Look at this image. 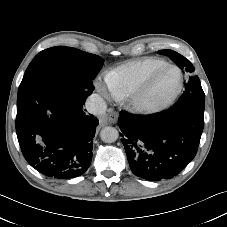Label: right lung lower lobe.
I'll return each instance as SVG.
<instances>
[{"label":"right lung lower lobe","mask_w":227,"mask_h":227,"mask_svg":"<svg viewBox=\"0 0 227 227\" xmlns=\"http://www.w3.org/2000/svg\"><path fill=\"white\" fill-rule=\"evenodd\" d=\"M93 89L44 84L17 98V138L27 162L42 174L74 178L90 166L98 119L83 107Z\"/></svg>","instance_id":"98d812e1"}]
</instances>
